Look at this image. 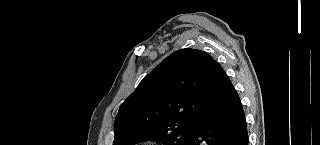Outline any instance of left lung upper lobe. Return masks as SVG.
I'll return each mask as SVG.
<instances>
[{
  "label": "left lung upper lobe",
  "mask_w": 320,
  "mask_h": 145,
  "mask_svg": "<svg viewBox=\"0 0 320 145\" xmlns=\"http://www.w3.org/2000/svg\"><path fill=\"white\" fill-rule=\"evenodd\" d=\"M217 66L209 54L190 48L164 59L120 106L113 145H186L206 106V85Z\"/></svg>",
  "instance_id": "left-lung-upper-lobe-1"
}]
</instances>
